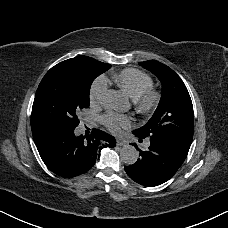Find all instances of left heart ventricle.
Listing matches in <instances>:
<instances>
[{
  "instance_id": "b2bd125f",
  "label": "left heart ventricle",
  "mask_w": 228,
  "mask_h": 228,
  "mask_svg": "<svg viewBox=\"0 0 228 228\" xmlns=\"http://www.w3.org/2000/svg\"><path fill=\"white\" fill-rule=\"evenodd\" d=\"M129 109H130V102H129V108L127 110H119V109H115V110H117V112H119L120 114H127Z\"/></svg>"
}]
</instances>
